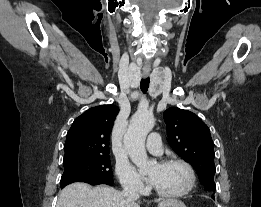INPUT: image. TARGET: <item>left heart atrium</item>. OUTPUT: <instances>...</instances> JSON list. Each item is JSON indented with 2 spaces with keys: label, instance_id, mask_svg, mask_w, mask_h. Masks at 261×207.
Returning <instances> with one entry per match:
<instances>
[{
  "label": "left heart atrium",
  "instance_id": "39dd6f15",
  "mask_svg": "<svg viewBox=\"0 0 261 207\" xmlns=\"http://www.w3.org/2000/svg\"><path fill=\"white\" fill-rule=\"evenodd\" d=\"M150 181L153 183V178L152 177H150Z\"/></svg>",
  "mask_w": 261,
  "mask_h": 207
}]
</instances>
